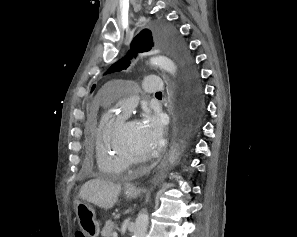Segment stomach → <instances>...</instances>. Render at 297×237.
I'll return each mask as SVG.
<instances>
[{"label": "stomach", "mask_w": 297, "mask_h": 237, "mask_svg": "<svg viewBox=\"0 0 297 237\" xmlns=\"http://www.w3.org/2000/svg\"><path fill=\"white\" fill-rule=\"evenodd\" d=\"M139 191H126L127 198H134ZM76 216L80 229L86 237H98L100 224L96 220L95 210L86 202H78L75 206Z\"/></svg>", "instance_id": "obj_1"}]
</instances>
